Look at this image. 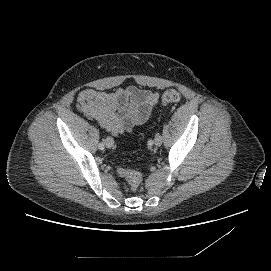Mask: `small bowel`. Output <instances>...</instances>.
<instances>
[{"instance_id": "small-bowel-1", "label": "small bowel", "mask_w": 271, "mask_h": 271, "mask_svg": "<svg viewBox=\"0 0 271 271\" xmlns=\"http://www.w3.org/2000/svg\"><path fill=\"white\" fill-rule=\"evenodd\" d=\"M158 100L157 92L134 86L113 91L87 88L78 94L77 108L111 134L119 135L148 120Z\"/></svg>"}]
</instances>
